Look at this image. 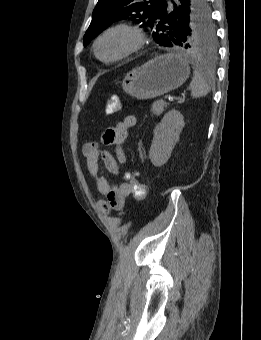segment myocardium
I'll return each mask as SVG.
<instances>
[{"label": "myocardium", "instance_id": "f54148a6", "mask_svg": "<svg viewBox=\"0 0 261 340\" xmlns=\"http://www.w3.org/2000/svg\"><path fill=\"white\" fill-rule=\"evenodd\" d=\"M117 30H123V31L130 33L133 36V45L128 50H126L125 52H123L122 54L118 56H115L109 59H104L99 54V51H98L99 44L106 35ZM145 43H146V35L141 27H139L138 25L129 23V22H121V23H117L106 28L97 37V39L94 42V52H95L96 57L99 60L105 63H113V62L125 59L128 56L136 53L138 50H140L145 45Z\"/></svg>", "mask_w": 261, "mask_h": 340}]
</instances>
